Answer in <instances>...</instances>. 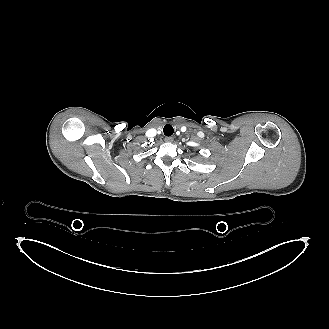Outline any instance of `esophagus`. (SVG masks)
Instances as JSON below:
<instances>
[{"label":"esophagus","mask_w":329,"mask_h":329,"mask_svg":"<svg viewBox=\"0 0 329 329\" xmlns=\"http://www.w3.org/2000/svg\"><path fill=\"white\" fill-rule=\"evenodd\" d=\"M165 142L167 143L173 142V137H165Z\"/></svg>","instance_id":"obj_1"}]
</instances>
